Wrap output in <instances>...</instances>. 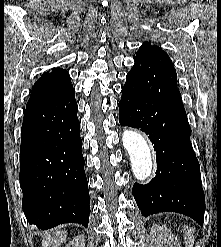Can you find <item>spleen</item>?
<instances>
[{"label": "spleen", "mask_w": 221, "mask_h": 247, "mask_svg": "<svg viewBox=\"0 0 221 247\" xmlns=\"http://www.w3.org/2000/svg\"><path fill=\"white\" fill-rule=\"evenodd\" d=\"M184 238L186 247H193L194 237L192 228H187V230L184 233Z\"/></svg>", "instance_id": "3e777b00"}]
</instances>
